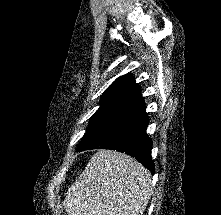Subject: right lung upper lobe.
Returning a JSON list of instances; mask_svg holds the SVG:
<instances>
[{
    "label": "right lung upper lobe",
    "instance_id": "obj_1",
    "mask_svg": "<svg viewBox=\"0 0 221 215\" xmlns=\"http://www.w3.org/2000/svg\"><path fill=\"white\" fill-rule=\"evenodd\" d=\"M95 114L124 118L145 107L138 84L131 74L117 78L102 94Z\"/></svg>",
    "mask_w": 221,
    "mask_h": 215
}]
</instances>
